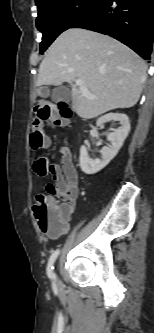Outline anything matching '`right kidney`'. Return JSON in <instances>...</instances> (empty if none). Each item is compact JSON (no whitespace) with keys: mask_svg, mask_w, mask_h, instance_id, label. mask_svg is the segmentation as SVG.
<instances>
[{"mask_svg":"<svg viewBox=\"0 0 154 333\" xmlns=\"http://www.w3.org/2000/svg\"><path fill=\"white\" fill-rule=\"evenodd\" d=\"M119 121L121 128L115 129L107 135V140L111 145L101 149V158L92 159L88 155V149L85 146L80 148L79 164L85 174H95L106 167L110 161L117 155L130 131V122L127 115L123 113H108L100 117L96 125L102 127L106 122Z\"/></svg>","mask_w":154,"mask_h":333,"instance_id":"obj_1","label":"right kidney"}]
</instances>
